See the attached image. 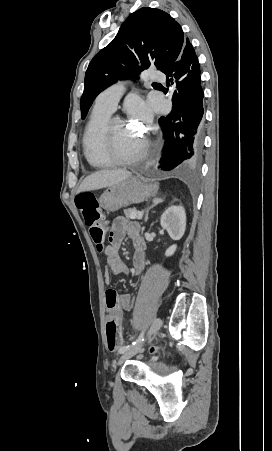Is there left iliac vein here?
<instances>
[{
    "label": "left iliac vein",
    "instance_id": "4c4485c4",
    "mask_svg": "<svg viewBox=\"0 0 272 451\" xmlns=\"http://www.w3.org/2000/svg\"><path fill=\"white\" fill-rule=\"evenodd\" d=\"M162 327V320L160 318H155L152 322V325L147 333V340L150 341L152 336L155 335ZM145 342H143L140 346L132 348L130 351H128L126 354H124L118 364L123 363L126 359L131 358L132 356L136 355L138 351L140 350L141 346L144 345Z\"/></svg>",
    "mask_w": 272,
    "mask_h": 451
}]
</instances>
